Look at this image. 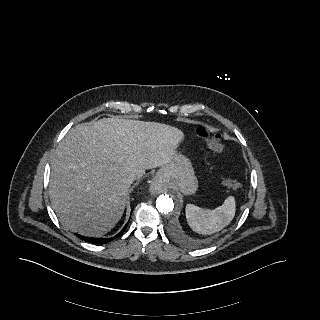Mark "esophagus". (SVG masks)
<instances>
[{
  "label": "esophagus",
  "mask_w": 320,
  "mask_h": 320,
  "mask_svg": "<svg viewBox=\"0 0 320 320\" xmlns=\"http://www.w3.org/2000/svg\"><path fill=\"white\" fill-rule=\"evenodd\" d=\"M166 186L163 178L160 175H156L151 184H150V192L152 194H160L165 190Z\"/></svg>",
  "instance_id": "34e87169"
}]
</instances>
